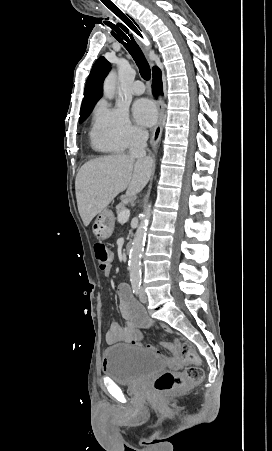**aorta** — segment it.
Wrapping results in <instances>:
<instances>
[{
	"label": "aorta",
	"mask_w": 272,
	"mask_h": 451,
	"mask_svg": "<svg viewBox=\"0 0 272 451\" xmlns=\"http://www.w3.org/2000/svg\"><path fill=\"white\" fill-rule=\"evenodd\" d=\"M116 80V72L115 70H111L110 74H108L107 78H105L103 86L104 96L105 98H108V100H113L115 96ZM150 216L151 204H148L147 208H145L143 212V216H141V222L139 227L136 229L135 237L132 241V247L130 249L128 269L131 281H141V253L144 247L146 229Z\"/></svg>",
	"instance_id": "obj_1"
}]
</instances>
